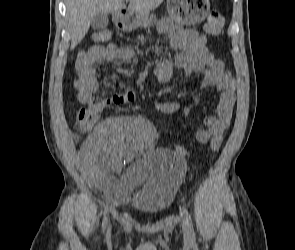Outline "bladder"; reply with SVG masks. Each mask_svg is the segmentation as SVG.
Segmentation results:
<instances>
[{
    "instance_id": "bladder-1",
    "label": "bladder",
    "mask_w": 295,
    "mask_h": 250,
    "mask_svg": "<svg viewBox=\"0 0 295 250\" xmlns=\"http://www.w3.org/2000/svg\"><path fill=\"white\" fill-rule=\"evenodd\" d=\"M148 170L149 180L135 190L132 205L146 214H159L171 205L179 184L184 178V159L169 149L152 152Z\"/></svg>"
}]
</instances>
